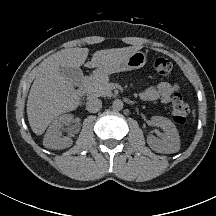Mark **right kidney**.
Returning <instances> with one entry per match:
<instances>
[{
    "mask_svg": "<svg viewBox=\"0 0 216 216\" xmlns=\"http://www.w3.org/2000/svg\"><path fill=\"white\" fill-rule=\"evenodd\" d=\"M73 120L71 114L61 115L51 123L44 139L43 145L49 149H64L72 145V139L70 137H62L61 129L65 124L70 123Z\"/></svg>",
    "mask_w": 216,
    "mask_h": 216,
    "instance_id": "ca27d5eb",
    "label": "right kidney"
}]
</instances>
